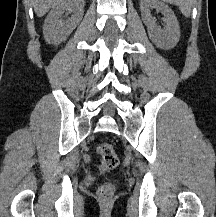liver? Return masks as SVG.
Instances as JSON below:
<instances>
[{
  "instance_id": "liver-1",
  "label": "liver",
  "mask_w": 216,
  "mask_h": 217,
  "mask_svg": "<svg viewBox=\"0 0 216 217\" xmlns=\"http://www.w3.org/2000/svg\"><path fill=\"white\" fill-rule=\"evenodd\" d=\"M59 0H33V7L38 17L44 16Z\"/></svg>"
}]
</instances>
